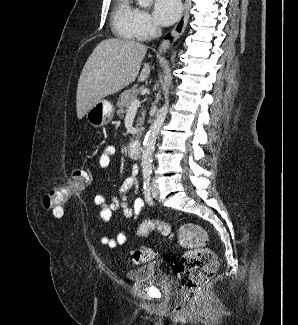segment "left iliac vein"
<instances>
[{"instance_id": "4c4485c4", "label": "left iliac vein", "mask_w": 298, "mask_h": 325, "mask_svg": "<svg viewBox=\"0 0 298 325\" xmlns=\"http://www.w3.org/2000/svg\"><path fill=\"white\" fill-rule=\"evenodd\" d=\"M150 192L152 197L157 198L158 194H159V188L156 182H152L151 187H150Z\"/></svg>"}]
</instances>
